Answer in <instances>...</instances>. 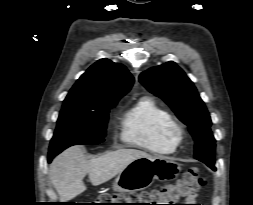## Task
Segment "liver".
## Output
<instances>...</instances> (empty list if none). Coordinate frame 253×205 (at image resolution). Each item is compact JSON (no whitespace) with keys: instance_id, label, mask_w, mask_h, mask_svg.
Segmentation results:
<instances>
[{"instance_id":"6515ba94","label":"liver","mask_w":253,"mask_h":205,"mask_svg":"<svg viewBox=\"0 0 253 205\" xmlns=\"http://www.w3.org/2000/svg\"><path fill=\"white\" fill-rule=\"evenodd\" d=\"M150 157L144 151L119 149L87 160L85 149L72 146L59 154L50 164L49 177L62 202H67L84 192L86 174L94 186H98L124 170L137 158Z\"/></svg>"}]
</instances>
